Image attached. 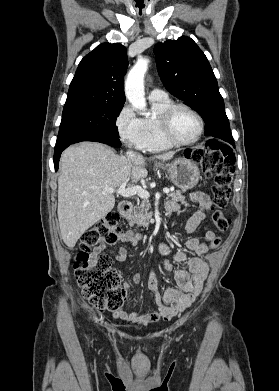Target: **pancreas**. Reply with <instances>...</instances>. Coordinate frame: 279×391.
<instances>
[{"label": "pancreas", "mask_w": 279, "mask_h": 391, "mask_svg": "<svg viewBox=\"0 0 279 391\" xmlns=\"http://www.w3.org/2000/svg\"><path fill=\"white\" fill-rule=\"evenodd\" d=\"M168 197L173 201H180L182 204H187L185 196L180 191H173ZM150 207L151 205L147 200H143L140 206L135 207L133 215L129 219L130 226L136 224L137 226L148 227L153 216V212H149Z\"/></svg>", "instance_id": "cf45deb5"}]
</instances>
